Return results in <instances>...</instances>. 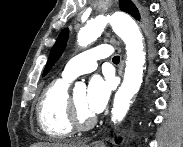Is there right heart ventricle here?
<instances>
[{"label": "right heart ventricle", "instance_id": "e07e8e85", "mask_svg": "<svg viewBox=\"0 0 183 147\" xmlns=\"http://www.w3.org/2000/svg\"><path fill=\"white\" fill-rule=\"evenodd\" d=\"M69 84L70 81L65 78L52 81L38 102V123L43 132L53 139L67 138L74 132L69 117Z\"/></svg>", "mask_w": 183, "mask_h": 147}]
</instances>
